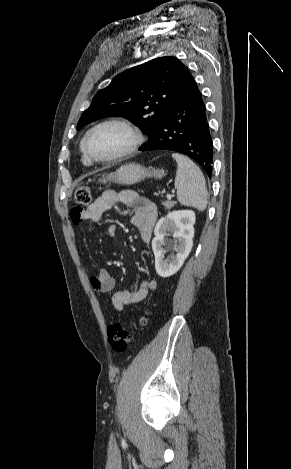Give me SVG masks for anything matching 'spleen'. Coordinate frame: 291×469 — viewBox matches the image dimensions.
<instances>
[{"mask_svg":"<svg viewBox=\"0 0 291 469\" xmlns=\"http://www.w3.org/2000/svg\"><path fill=\"white\" fill-rule=\"evenodd\" d=\"M172 157L177 162L175 188L178 201L185 206L204 211L208 203V192L201 170L182 154L173 153Z\"/></svg>","mask_w":291,"mask_h":469,"instance_id":"3e777b00","label":"spleen"}]
</instances>
